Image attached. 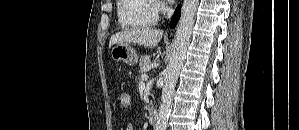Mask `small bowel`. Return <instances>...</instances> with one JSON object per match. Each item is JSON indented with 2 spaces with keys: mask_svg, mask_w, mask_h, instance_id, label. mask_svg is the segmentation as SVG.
<instances>
[{
  "mask_svg": "<svg viewBox=\"0 0 299 130\" xmlns=\"http://www.w3.org/2000/svg\"><path fill=\"white\" fill-rule=\"evenodd\" d=\"M126 130H134L133 125L132 124H128L126 127Z\"/></svg>",
  "mask_w": 299,
  "mask_h": 130,
  "instance_id": "1",
  "label": "small bowel"
}]
</instances>
